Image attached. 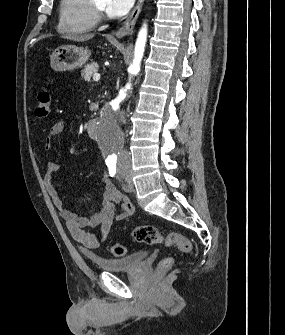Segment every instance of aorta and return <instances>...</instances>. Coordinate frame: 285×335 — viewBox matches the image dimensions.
Segmentation results:
<instances>
[{"instance_id":"aorta-1","label":"aorta","mask_w":285,"mask_h":335,"mask_svg":"<svg viewBox=\"0 0 285 335\" xmlns=\"http://www.w3.org/2000/svg\"><path fill=\"white\" fill-rule=\"evenodd\" d=\"M147 30L142 28L137 38L133 64L129 66L128 72L131 76H137L140 72V64L144 54L145 42H146ZM112 95L114 100H106V105H103L102 110L104 112L102 119V125L97 127H91V134H97V137H101L98 141L99 147H109L107 150L108 156H113L114 152L118 151V147L123 146L122 137H126V130L122 125H113V119H111V112H118L121 107V102H125L126 97H132L133 92L131 90V84L128 82L125 88L122 90H113Z\"/></svg>"}]
</instances>
